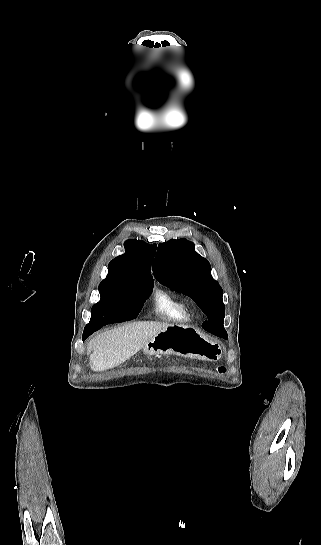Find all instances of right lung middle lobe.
I'll list each match as a JSON object with an SVG mask.
<instances>
[{"label": "right lung middle lobe", "instance_id": "1", "mask_svg": "<svg viewBox=\"0 0 321 545\" xmlns=\"http://www.w3.org/2000/svg\"><path fill=\"white\" fill-rule=\"evenodd\" d=\"M152 288H153L152 286H147V287L129 289V288L111 286L101 282L99 285V293L101 298H100V301L92 307L90 322L95 321L96 310L98 309V307H100L107 301H110L112 299H115L124 295H130V296H138L139 298L142 299L143 302H145V300L150 295Z\"/></svg>", "mask_w": 321, "mask_h": 545}]
</instances>
